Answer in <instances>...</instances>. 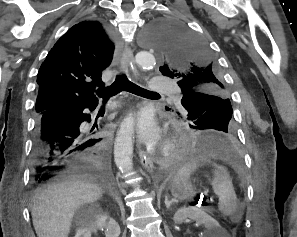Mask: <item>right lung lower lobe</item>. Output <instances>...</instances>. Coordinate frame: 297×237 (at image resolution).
I'll list each match as a JSON object with an SVG mask.
<instances>
[{
	"label": "right lung lower lobe",
	"instance_id": "obj_1",
	"mask_svg": "<svg viewBox=\"0 0 297 237\" xmlns=\"http://www.w3.org/2000/svg\"><path fill=\"white\" fill-rule=\"evenodd\" d=\"M54 108L42 112L36 118L33 148V180L36 185L72 174L92 173L99 178L110 176V162L103 139L91 137L80 126L91 121L85 109ZM97 127V124H96ZM99 130V129H98Z\"/></svg>",
	"mask_w": 297,
	"mask_h": 237
}]
</instances>
